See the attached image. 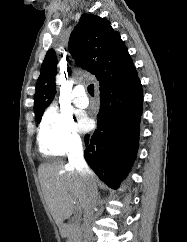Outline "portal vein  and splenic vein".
I'll return each instance as SVG.
<instances>
[{
	"mask_svg": "<svg viewBox=\"0 0 187 242\" xmlns=\"http://www.w3.org/2000/svg\"><path fill=\"white\" fill-rule=\"evenodd\" d=\"M74 204H76V202H74ZM79 209H80V207L78 206V207H77V210H79Z\"/></svg>",
	"mask_w": 187,
	"mask_h": 242,
	"instance_id": "1",
	"label": "portal vein and splenic vein"
}]
</instances>
